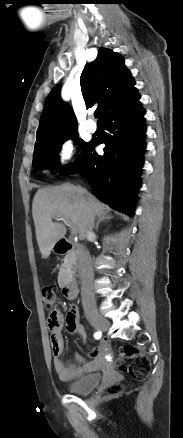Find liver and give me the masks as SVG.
I'll return each instance as SVG.
<instances>
[{"mask_svg": "<svg viewBox=\"0 0 183 438\" xmlns=\"http://www.w3.org/2000/svg\"><path fill=\"white\" fill-rule=\"evenodd\" d=\"M101 213H104L103 204L84 188L63 184L39 189L33 198L32 215L42 258L49 257L67 231L62 223L53 222L52 218L60 216L70 221L83 239L89 224H94L95 216Z\"/></svg>", "mask_w": 183, "mask_h": 438, "instance_id": "6515ba94", "label": "liver"}]
</instances>
